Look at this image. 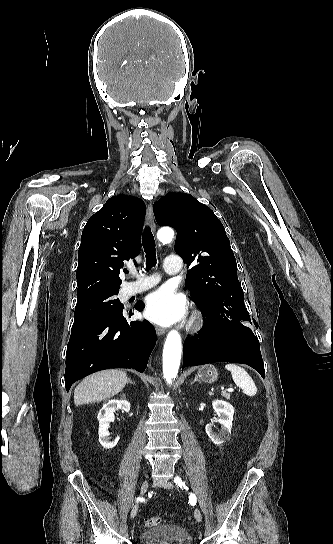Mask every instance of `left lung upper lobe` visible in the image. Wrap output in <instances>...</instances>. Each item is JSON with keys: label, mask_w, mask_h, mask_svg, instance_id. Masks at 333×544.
I'll use <instances>...</instances> for the list:
<instances>
[{"label": "left lung upper lobe", "mask_w": 333, "mask_h": 544, "mask_svg": "<svg viewBox=\"0 0 333 544\" xmlns=\"http://www.w3.org/2000/svg\"><path fill=\"white\" fill-rule=\"evenodd\" d=\"M154 214L159 225L177 231L175 251L193 265L186 287L207 317L251 323L229 239L213 211L189 194L168 193L154 204Z\"/></svg>", "instance_id": "left-lung-upper-lobe-1"}]
</instances>
